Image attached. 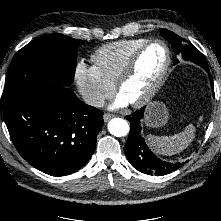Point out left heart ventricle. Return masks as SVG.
<instances>
[{
	"instance_id": "left-heart-ventricle-1",
	"label": "left heart ventricle",
	"mask_w": 221,
	"mask_h": 221,
	"mask_svg": "<svg viewBox=\"0 0 221 221\" xmlns=\"http://www.w3.org/2000/svg\"><path fill=\"white\" fill-rule=\"evenodd\" d=\"M166 60V52L161 44L148 47L138 60L132 77L124 84L120 94L133 102L146 94L158 79Z\"/></svg>"
}]
</instances>
